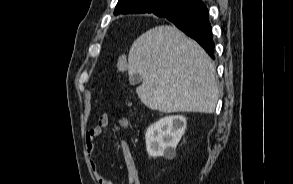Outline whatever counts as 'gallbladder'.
<instances>
[{
	"mask_svg": "<svg viewBox=\"0 0 293 184\" xmlns=\"http://www.w3.org/2000/svg\"><path fill=\"white\" fill-rule=\"evenodd\" d=\"M129 81L131 85H136L141 82V76L139 74H134L130 76Z\"/></svg>",
	"mask_w": 293,
	"mask_h": 184,
	"instance_id": "1",
	"label": "gallbladder"
}]
</instances>
